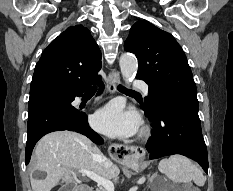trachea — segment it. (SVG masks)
I'll list each match as a JSON object with an SVG mask.
<instances>
[{
  "label": "trachea",
  "instance_id": "3493384b",
  "mask_svg": "<svg viewBox=\"0 0 233 191\" xmlns=\"http://www.w3.org/2000/svg\"><path fill=\"white\" fill-rule=\"evenodd\" d=\"M118 89L120 91H126V92H132L133 90H129V89H126L125 87L123 86H118ZM97 91V87L96 86H93V87H90L88 90H87V93H92L94 94L95 92Z\"/></svg>",
  "mask_w": 233,
  "mask_h": 191
}]
</instances>
